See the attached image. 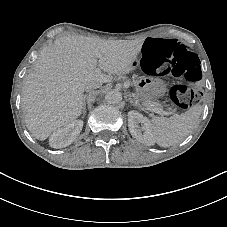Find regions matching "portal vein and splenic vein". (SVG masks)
Wrapping results in <instances>:
<instances>
[{
    "label": "portal vein and splenic vein",
    "instance_id": "1",
    "mask_svg": "<svg viewBox=\"0 0 227 227\" xmlns=\"http://www.w3.org/2000/svg\"><path fill=\"white\" fill-rule=\"evenodd\" d=\"M148 110L153 111L155 113L160 114L161 116H177L178 115V111L174 110V111H161L159 108H151L149 107Z\"/></svg>",
    "mask_w": 227,
    "mask_h": 227
}]
</instances>
